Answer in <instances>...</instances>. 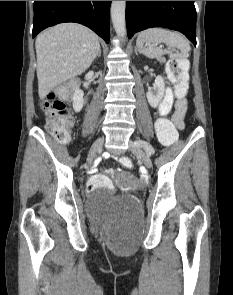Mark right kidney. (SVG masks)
<instances>
[{
  "mask_svg": "<svg viewBox=\"0 0 233 295\" xmlns=\"http://www.w3.org/2000/svg\"><path fill=\"white\" fill-rule=\"evenodd\" d=\"M83 95H84L83 91L80 90L79 87H75L73 97H72L73 109L75 112H80L83 107V104H84Z\"/></svg>",
  "mask_w": 233,
  "mask_h": 295,
  "instance_id": "1",
  "label": "right kidney"
}]
</instances>
